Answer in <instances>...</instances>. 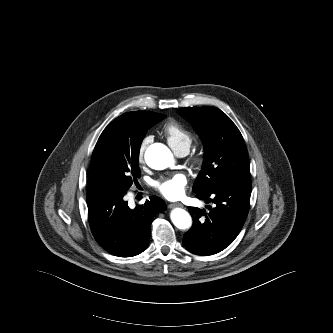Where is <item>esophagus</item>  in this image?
I'll use <instances>...</instances> for the list:
<instances>
[{
    "instance_id": "obj_1",
    "label": "esophagus",
    "mask_w": 333,
    "mask_h": 333,
    "mask_svg": "<svg viewBox=\"0 0 333 333\" xmlns=\"http://www.w3.org/2000/svg\"><path fill=\"white\" fill-rule=\"evenodd\" d=\"M169 208H175V207H183V204H181V203H171V204H169V206H168Z\"/></svg>"
}]
</instances>
